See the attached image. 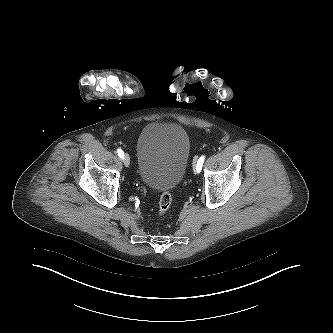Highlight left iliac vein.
<instances>
[{
	"mask_svg": "<svg viewBox=\"0 0 333 333\" xmlns=\"http://www.w3.org/2000/svg\"><path fill=\"white\" fill-rule=\"evenodd\" d=\"M196 166H197L196 161H194V163H193V167H194V172H195V173H197Z\"/></svg>",
	"mask_w": 333,
	"mask_h": 333,
	"instance_id": "4c4485c4",
	"label": "left iliac vein"
}]
</instances>
